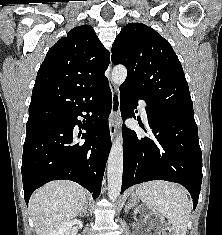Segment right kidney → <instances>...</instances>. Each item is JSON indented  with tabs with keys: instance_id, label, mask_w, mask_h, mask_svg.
<instances>
[{
	"instance_id": "right-kidney-1",
	"label": "right kidney",
	"mask_w": 222,
	"mask_h": 235,
	"mask_svg": "<svg viewBox=\"0 0 222 235\" xmlns=\"http://www.w3.org/2000/svg\"><path fill=\"white\" fill-rule=\"evenodd\" d=\"M73 225H77L79 228H82L83 223L82 221L77 219L64 222L57 226V228L54 229L50 235H69Z\"/></svg>"
}]
</instances>
